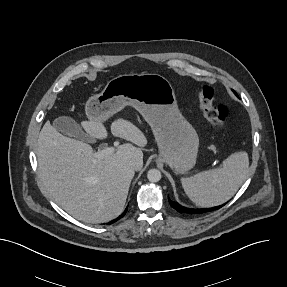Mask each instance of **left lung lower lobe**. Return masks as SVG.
<instances>
[{"label": "left lung lower lobe", "mask_w": 287, "mask_h": 287, "mask_svg": "<svg viewBox=\"0 0 287 287\" xmlns=\"http://www.w3.org/2000/svg\"><path fill=\"white\" fill-rule=\"evenodd\" d=\"M168 200H169L170 206L174 208L176 211H178L179 213L189 214V215L204 214V213H207L213 210H217L223 206V205H220V206L208 208V209H194V208L184 207L177 202L171 201L169 197H168Z\"/></svg>", "instance_id": "obj_1"}]
</instances>
